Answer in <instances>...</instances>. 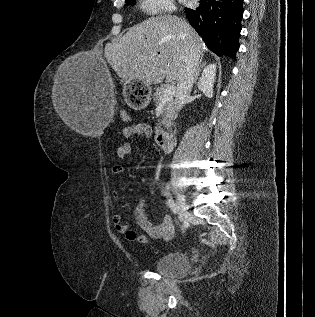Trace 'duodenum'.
Returning a JSON list of instances; mask_svg holds the SVG:
<instances>
[{"mask_svg": "<svg viewBox=\"0 0 315 317\" xmlns=\"http://www.w3.org/2000/svg\"><path fill=\"white\" fill-rule=\"evenodd\" d=\"M156 141L164 152H171L174 147V135L167 131H158L156 134Z\"/></svg>", "mask_w": 315, "mask_h": 317, "instance_id": "duodenum-1", "label": "duodenum"}]
</instances>
